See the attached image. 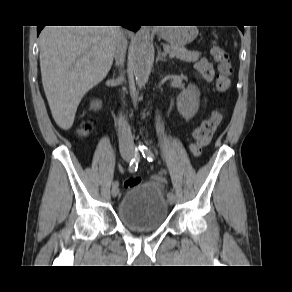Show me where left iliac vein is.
Listing matches in <instances>:
<instances>
[{"mask_svg":"<svg viewBox=\"0 0 292 292\" xmlns=\"http://www.w3.org/2000/svg\"><path fill=\"white\" fill-rule=\"evenodd\" d=\"M168 202L170 205H173L175 203V197L174 196L168 197Z\"/></svg>","mask_w":292,"mask_h":292,"instance_id":"left-iliac-vein-1","label":"left iliac vein"}]
</instances>
